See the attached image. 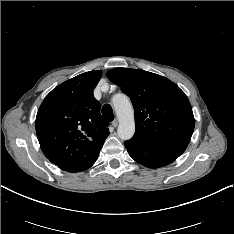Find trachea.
I'll list each match as a JSON object with an SVG mask.
<instances>
[{"mask_svg": "<svg viewBox=\"0 0 234 234\" xmlns=\"http://www.w3.org/2000/svg\"><path fill=\"white\" fill-rule=\"evenodd\" d=\"M102 115L108 120V121H112L114 119V114H113V110L112 107L109 104H105L102 107Z\"/></svg>", "mask_w": 234, "mask_h": 234, "instance_id": "trachea-1", "label": "trachea"}]
</instances>
